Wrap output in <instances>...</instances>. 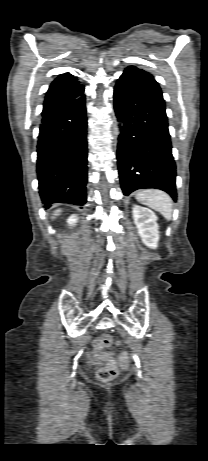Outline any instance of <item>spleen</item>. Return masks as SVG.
Returning <instances> with one entry per match:
<instances>
[{"label": "spleen", "instance_id": "obj_1", "mask_svg": "<svg viewBox=\"0 0 208 461\" xmlns=\"http://www.w3.org/2000/svg\"><path fill=\"white\" fill-rule=\"evenodd\" d=\"M135 197L141 204L160 212L168 221L172 219L173 203L166 192L157 189L141 190Z\"/></svg>", "mask_w": 208, "mask_h": 461}]
</instances>
